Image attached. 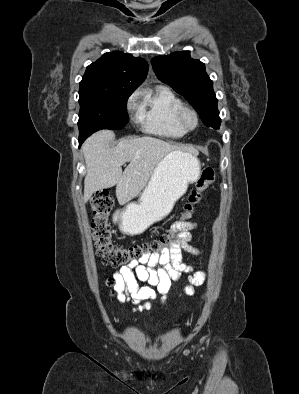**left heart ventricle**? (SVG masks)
I'll list each match as a JSON object with an SVG mask.
<instances>
[{"label": "left heart ventricle", "mask_w": 299, "mask_h": 394, "mask_svg": "<svg viewBox=\"0 0 299 394\" xmlns=\"http://www.w3.org/2000/svg\"><path fill=\"white\" fill-rule=\"evenodd\" d=\"M185 120H186L187 125H189V126H193L194 125L195 121H194V118H193L192 115L187 114Z\"/></svg>", "instance_id": "obj_1"}]
</instances>
